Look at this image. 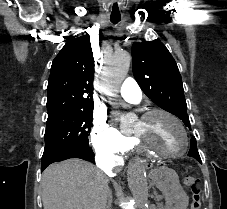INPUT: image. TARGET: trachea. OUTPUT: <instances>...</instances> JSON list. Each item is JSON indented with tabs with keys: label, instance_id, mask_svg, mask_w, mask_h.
<instances>
[{
	"label": "trachea",
	"instance_id": "obj_1",
	"mask_svg": "<svg viewBox=\"0 0 227 209\" xmlns=\"http://www.w3.org/2000/svg\"><path fill=\"white\" fill-rule=\"evenodd\" d=\"M120 20H121V15H120V13H111L110 21H111L113 24L119 23Z\"/></svg>",
	"mask_w": 227,
	"mask_h": 209
}]
</instances>
